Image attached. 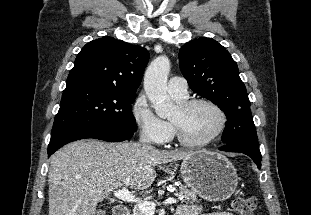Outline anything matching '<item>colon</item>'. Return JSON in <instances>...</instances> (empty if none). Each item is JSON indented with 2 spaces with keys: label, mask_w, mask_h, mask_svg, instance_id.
Masks as SVG:
<instances>
[{
  "label": "colon",
  "mask_w": 311,
  "mask_h": 215,
  "mask_svg": "<svg viewBox=\"0 0 311 215\" xmlns=\"http://www.w3.org/2000/svg\"><path fill=\"white\" fill-rule=\"evenodd\" d=\"M256 206V199L252 197H239L232 202L233 209L239 215H253Z\"/></svg>",
  "instance_id": "1"
}]
</instances>
